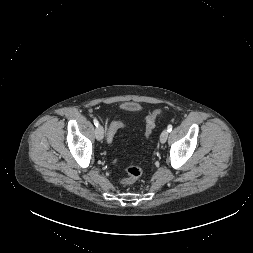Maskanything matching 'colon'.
Segmentation results:
<instances>
[{
    "label": "colon",
    "instance_id": "obj_1",
    "mask_svg": "<svg viewBox=\"0 0 253 253\" xmlns=\"http://www.w3.org/2000/svg\"><path fill=\"white\" fill-rule=\"evenodd\" d=\"M162 113L161 109H156L152 111L146 118V129H145V136L147 138L150 137L154 127H155V121L158 115ZM124 127V124L122 122H114L110 125L107 131V141L111 143L115 137V134L118 129ZM126 177L121 180L122 185H132L135 182L138 181V179L142 175V170L138 166H128L125 168Z\"/></svg>",
    "mask_w": 253,
    "mask_h": 253
}]
</instances>
